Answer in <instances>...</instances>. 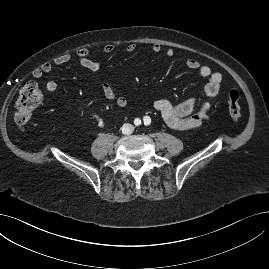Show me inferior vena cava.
<instances>
[{
    "instance_id": "inferior-vena-cava-1",
    "label": "inferior vena cava",
    "mask_w": 269,
    "mask_h": 269,
    "mask_svg": "<svg viewBox=\"0 0 269 269\" xmlns=\"http://www.w3.org/2000/svg\"><path fill=\"white\" fill-rule=\"evenodd\" d=\"M133 130V126L131 124H124L122 127V132L124 134H130Z\"/></svg>"
}]
</instances>
